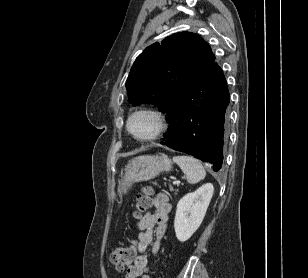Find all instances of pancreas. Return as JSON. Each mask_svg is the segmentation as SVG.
Returning a JSON list of instances; mask_svg holds the SVG:
<instances>
[{"instance_id":"pancreas-1","label":"pancreas","mask_w":308,"mask_h":278,"mask_svg":"<svg viewBox=\"0 0 308 278\" xmlns=\"http://www.w3.org/2000/svg\"><path fill=\"white\" fill-rule=\"evenodd\" d=\"M170 191H174L173 187L170 186Z\"/></svg>"}]
</instances>
